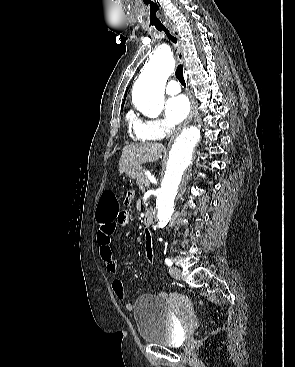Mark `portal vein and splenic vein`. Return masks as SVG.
<instances>
[{
    "label": "portal vein and splenic vein",
    "instance_id": "obj_1",
    "mask_svg": "<svg viewBox=\"0 0 295 367\" xmlns=\"http://www.w3.org/2000/svg\"><path fill=\"white\" fill-rule=\"evenodd\" d=\"M145 186H147V187L149 186V180L145 181Z\"/></svg>",
    "mask_w": 295,
    "mask_h": 367
}]
</instances>
